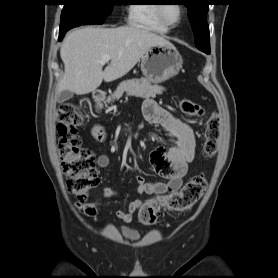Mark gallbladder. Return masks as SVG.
<instances>
[{
  "mask_svg": "<svg viewBox=\"0 0 278 278\" xmlns=\"http://www.w3.org/2000/svg\"><path fill=\"white\" fill-rule=\"evenodd\" d=\"M72 97H73V92L64 90L57 95V102L63 103L64 101H67V100L71 99Z\"/></svg>",
  "mask_w": 278,
  "mask_h": 278,
  "instance_id": "obj_1",
  "label": "gallbladder"
}]
</instances>
